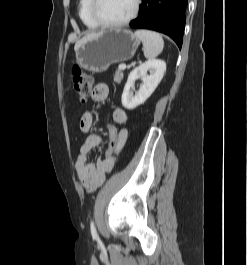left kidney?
<instances>
[{"label":"left kidney","mask_w":247,"mask_h":265,"mask_svg":"<svg viewBox=\"0 0 247 265\" xmlns=\"http://www.w3.org/2000/svg\"><path fill=\"white\" fill-rule=\"evenodd\" d=\"M150 75H147V72ZM166 71V63L160 59H151L136 67L128 76L127 83L122 93V105L128 110L135 109L143 104L155 91ZM141 78L143 84L135 95L131 88L137 79Z\"/></svg>","instance_id":"5707ae66"}]
</instances>
